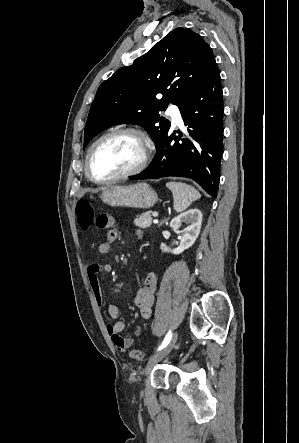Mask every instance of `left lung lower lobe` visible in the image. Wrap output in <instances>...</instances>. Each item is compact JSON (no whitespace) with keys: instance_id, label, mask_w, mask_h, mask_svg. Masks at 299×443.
Wrapping results in <instances>:
<instances>
[{"instance_id":"0a47b994","label":"left lung lower lobe","mask_w":299,"mask_h":443,"mask_svg":"<svg viewBox=\"0 0 299 443\" xmlns=\"http://www.w3.org/2000/svg\"><path fill=\"white\" fill-rule=\"evenodd\" d=\"M179 110L184 124L188 126V134L180 131L171 134L168 131L148 168L130 179L187 177L216 197L223 137V97L216 63L205 80L182 102Z\"/></svg>"}]
</instances>
